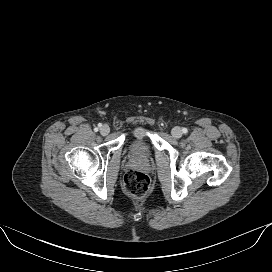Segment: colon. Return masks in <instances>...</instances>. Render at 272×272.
<instances>
[{
  "label": "colon",
  "mask_w": 272,
  "mask_h": 272,
  "mask_svg": "<svg viewBox=\"0 0 272 272\" xmlns=\"http://www.w3.org/2000/svg\"><path fill=\"white\" fill-rule=\"evenodd\" d=\"M150 185L149 177L140 171H128L123 179L125 192L136 199L145 197L150 190Z\"/></svg>",
  "instance_id": "obj_1"
}]
</instances>
